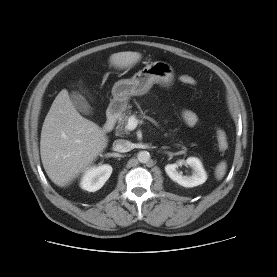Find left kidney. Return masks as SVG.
Returning a JSON list of instances; mask_svg holds the SVG:
<instances>
[{
	"mask_svg": "<svg viewBox=\"0 0 277 277\" xmlns=\"http://www.w3.org/2000/svg\"><path fill=\"white\" fill-rule=\"evenodd\" d=\"M186 163L193 169L191 176H184L177 171V168ZM166 174L175 182L183 187H195L203 184L207 180V174L202 166L201 161L196 157H189L185 161H178L174 164L165 166Z\"/></svg>",
	"mask_w": 277,
	"mask_h": 277,
	"instance_id": "5707ae66",
	"label": "left kidney"
}]
</instances>
